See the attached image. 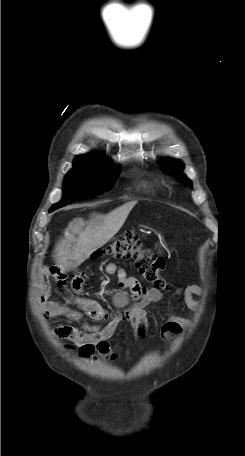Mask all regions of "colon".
<instances>
[{
  "label": "colon",
  "mask_w": 245,
  "mask_h": 456,
  "mask_svg": "<svg viewBox=\"0 0 245 456\" xmlns=\"http://www.w3.org/2000/svg\"><path fill=\"white\" fill-rule=\"evenodd\" d=\"M107 253L118 259H134L139 274L149 282L154 289L170 291L171 285L163 278L161 271L164 262L148 247L140 237L133 232H126L113 242L104 251L93 254L95 258Z\"/></svg>",
  "instance_id": "5ec220e1"
}]
</instances>
